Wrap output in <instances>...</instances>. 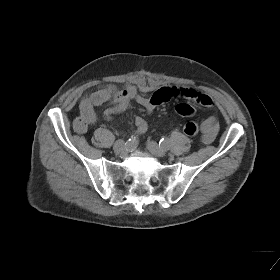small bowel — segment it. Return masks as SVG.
<instances>
[{"label":"small bowel","mask_w":280,"mask_h":280,"mask_svg":"<svg viewBox=\"0 0 280 280\" xmlns=\"http://www.w3.org/2000/svg\"><path fill=\"white\" fill-rule=\"evenodd\" d=\"M176 98L191 100L205 107L213 105V100L209 95L200 93L192 88L161 87L147 97L141 95L133 85L117 87L113 84H106L85 95L80 101V118L85 122L86 126L84 129L77 131L83 133L90 125L95 123L97 118L95 107L97 106L106 104L104 115L106 118H110L113 114L124 111L132 101H136L148 113H151L158 105ZM192 109L193 113L189 116L194 114V108L192 107ZM134 123L137 134L142 135L147 131L148 124L142 117L136 116ZM218 130L219 123L216 117L211 116L202 120L200 123L202 142H212Z\"/></svg>","instance_id":"obj_1"}]
</instances>
